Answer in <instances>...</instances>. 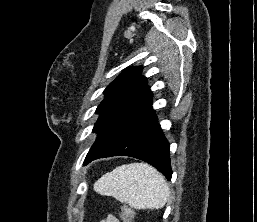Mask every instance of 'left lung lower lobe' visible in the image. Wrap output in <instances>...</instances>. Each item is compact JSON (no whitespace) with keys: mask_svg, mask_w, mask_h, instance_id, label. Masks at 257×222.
<instances>
[{"mask_svg":"<svg viewBox=\"0 0 257 222\" xmlns=\"http://www.w3.org/2000/svg\"><path fill=\"white\" fill-rule=\"evenodd\" d=\"M170 144L166 140L152 105L128 122L102 149L85 159L111 156H131L157 168L171 180Z\"/></svg>","mask_w":257,"mask_h":222,"instance_id":"0a47b994","label":"left lung lower lobe"}]
</instances>
